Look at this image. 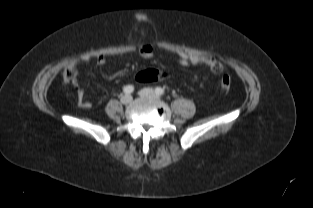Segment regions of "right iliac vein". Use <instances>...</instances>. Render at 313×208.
Segmentation results:
<instances>
[{"label": "right iliac vein", "instance_id": "63e3f726", "mask_svg": "<svg viewBox=\"0 0 313 208\" xmlns=\"http://www.w3.org/2000/svg\"><path fill=\"white\" fill-rule=\"evenodd\" d=\"M121 103L124 105H128L132 102V96L131 95H124L120 99Z\"/></svg>", "mask_w": 313, "mask_h": 208}]
</instances>
